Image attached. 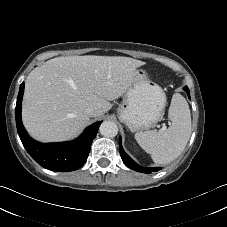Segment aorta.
<instances>
[{
	"label": "aorta",
	"instance_id": "obj_1",
	"mask_svg": "<svg viewBox=\"0 0 227 227\" xmlns=\"http://www.w3.org/2000/svg\"><path fill=\"white\" fill-rule=\"evenodd\" d=\"M101 135L105 137H115L118 134V127L113 121H104L99 128Z\"/></svg>",
	"mask_w": 227,
	"mask_h": 227
}]
</instances>
